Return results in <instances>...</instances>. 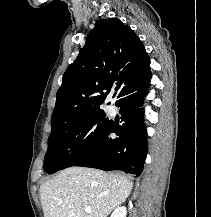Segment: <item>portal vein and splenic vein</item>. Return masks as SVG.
<instances>
[{
	"label": "portal vein and splenic vein",
	"instance_id": "obj_1",
	"mask_svg": "<svg viewBox=\"0 0 211 217\" xmlns=\"http://www.w3.org/2000/svg\"><path fill=\"white\" fill-rule=\"evenodd\" d=\"M84 211L87 212V213H90V212H91V209H90V207L85 206V207H84Z\"/></svg>",
	"mask_w": 211,
	"mask_h": 217
}]
</instances>
